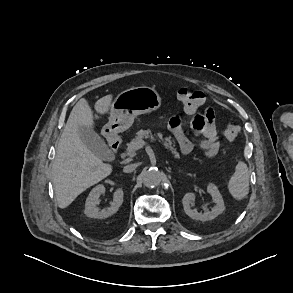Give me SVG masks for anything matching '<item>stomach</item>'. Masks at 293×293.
Here are the masks:
<instances>
[{
    "instance_id": "1",
    "label": "stomach",
    "mask_w": 293,
    "mask_h": 293,
    "mask_svg": "<svg viewBox=\"0 0 293 293\" xmlns=\"http://www.w3.org/2000/svg\"><path fill=\"white\" fill-rule=\"evenodd\" d=\"M161 107V97L151 87H134L117 95L111 105L109 122L104 131L115 134L129 129L134 118L140 114L151 113Z\"/></svg>"
}]
</instances>
